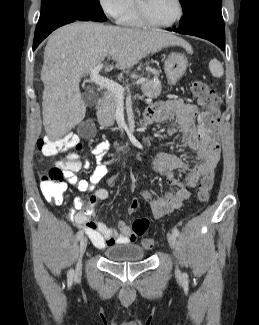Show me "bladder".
<instances>
[{
  "label": "bladder",
  "instance_id": "bladder-1",
  "mask_svg": "<svg viewBox=\"0 0 259 325\" xmlns=\"http://www.w3.org/2000/svg\"><path fill=\"white\" fill-rule=\"evenodd\" d=\"M107 260L115 263L141 261L145 252L141 246L134 243L115 244L104 250Z\"/></svg>",
  "mask_w": 259,
  "mask_h": 325
}]
</instances>
